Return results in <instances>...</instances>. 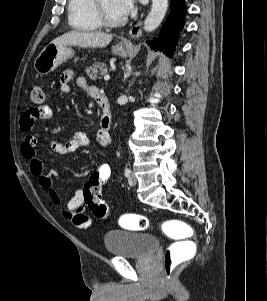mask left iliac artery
I'll list each match as a JSON object with an SVG mask.
<instances>
[{"mask_svg": "<svg viewBox=\"0 0 267 301\" xmlns=\"http://www.w3.org/2000/svg\"><path fill=\"white\" fill-rule=\"evenodd\" d=\"M130 173H131L130 169L126 167V168H125V171H124L125 176H126V177H129V176H130Z\"/></svg>", "mask_w": 267, "mask_h": 301, "instance_id": "44dca946", "label": "left iliac artery"}]
</instances>
